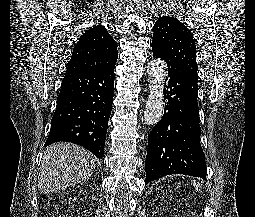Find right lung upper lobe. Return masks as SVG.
I'll use <instances>...</instances> for the list:
<instances>
[{"label": "right lung upper lobe", "instance_id": "obj_1", "mask_svg": "<svg viewBox=\"0 0 255 217\" xmlns=\"http://www.w3.org/2000/svg\"><path fill=\"white\" fill-rule=\"evenodd\" d=\"M117 43L104 26H94L83 33L73 48L68 71L99 70L116 64Z\"/></svg>", "mask_w": 255, "mask_h": 217}]
</instances>
